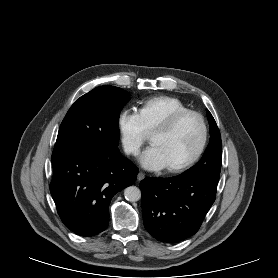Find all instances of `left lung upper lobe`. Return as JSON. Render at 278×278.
Wrapping results in <instances>:
<instances>
[{"mask_svg":"<svg viewBox=\"0 0 278 278\" xmlns=\"http://www.w3.org/2000/svg\"><path fill=\"white\" fill-rule=\"evenodd\" d=\"M207 116L210 123V143L201 160L180 176L218 181L222 162L221 136L217 124L209 111H207Z\"/></svg>","mask_w":278,"mask_h":278,"instance_id":"1","label":"left lung upper lobe"}]
</instances>
